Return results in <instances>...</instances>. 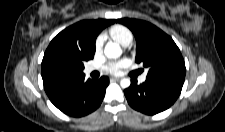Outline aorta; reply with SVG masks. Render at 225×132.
<instances>
[{"mask_svg": "<svg viewBox=\"0 0 225 132\" xmlns=\"http://www.w3.org/2000/svg\"><path fill=\"white\" fill-rule=\"evenodd\" d=\"M104 54L107 58H118L122 54V49L119 46V44L114 42H108L104 48ZM131 82L128 78H123L120 81V85L122 88H128L130 86Z\"/></svg>", "mask_w": 225, "mask_h": 132, "instance_id": "762f6f07", "label": "aorta"}]
</instances>
